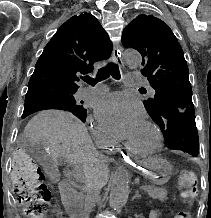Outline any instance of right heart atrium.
<instances>
[{
    "label": "right heart atrium",
    "mask_w": 211,
    "mask_h": 218,
    "mask_svg": "<svg viewBox=\"0 0 211 218\" xmlns=\"http://www.w3.org/2000/svg\"><path fill=\"white\" fill-rule=\"evenodd\" d=\"M91 132H92L94 140L96 141L98 145L105 146V145L112 143V140L109 137V135L101 128L97 126H92Z\"/></svg>",
    "instance_id": "1"
}]
</instances>
